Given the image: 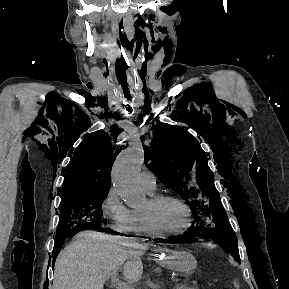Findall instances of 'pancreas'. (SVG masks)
Segmentation results:
<instances>
[{"label": "pancreas", "instance_id": "pancreas-1", "mask_svg": "<svg viewBox=\"0 0 289 289\" xmlns=\"http://www.w3.org/2000/svg\"><path fill=\"white\" fill-rule=\"evenodd\" d=\"M180 289H198L196 286L178 285Z\"/></svg>", "mask_w": 289, "mask_h": 289}]
</instances>
